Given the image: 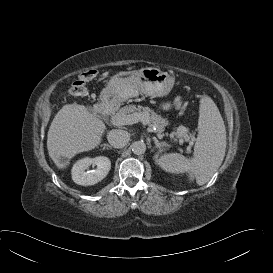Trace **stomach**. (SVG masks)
Returning <instances> with one entry per match:
<instances>
[{
  "mask_svg": "<svg viewBox=\"0 0 273 273\" xmlns=\"http://www.w3.org/2000/svg\"><path fill=\"white\" fill-rule=\"evenodd\" d=\"M174 81L168 72L155 67L121 71L112 77L109 85L101 92L100 99L103 105L115 108L139 94L165 97L171 92Z\"/></svg>",
  "mask_w": 273,
  "mask_h": 273,
  "instance_id": "0dacf381",
  "label": "stomach"
}]
</instances>
